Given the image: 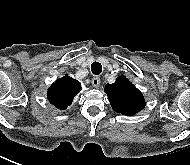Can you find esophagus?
Segmentation results:
<instances>
[{
  "label": "esophagus",
  "mask_w": 190,
  "mask_h": 165,
  "mask_svg": "<svg viewBox=\"0 0 190 165\" xmlns=\"http://www.w3.org/2000/svg\"><path fill=\"white\" fill-rule=\"evenodd\" d=\"M91 83H92V86L94 87V88H98L99 86H100V78L98 77V76H94L93 78H92V81H91Z\"/></svg>",
  "instance_id": "esophagus-1"
}]
</instances>
